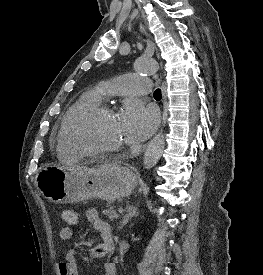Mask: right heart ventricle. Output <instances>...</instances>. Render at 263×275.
I'll use <instances>...</instances> for the list:
<instances>
[{
	"mask_svg": "<svg viewBox=\"0 0 263 275\" xmlns=\"http://www.w3.org/2000/svg\"><path fill=\"white\" fill-rule=\"evenodd\" d=\"M102 96L98 90H90L80 96V98L68 109L61 125L59 138V153L71 159H77L81 154L76 151L66 139L76 118L87 109L100 104Z\"/></svg>",
	"mask_w": 263,
	"mask_h": 275,
	"instance_id": "obj_1",
	"label": "right heart ventricle"
}]
</instances>
